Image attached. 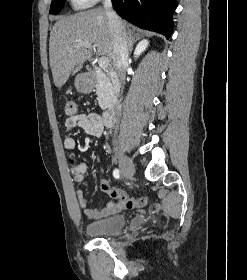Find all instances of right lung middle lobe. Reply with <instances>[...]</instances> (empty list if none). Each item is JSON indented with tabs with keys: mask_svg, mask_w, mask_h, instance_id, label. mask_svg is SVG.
<instances>
[{
	"mask_svg": "<svg viewBox=\"0 0 247 280\" xmlns=\"http://www.w3.org/2000/svg\"><path fill=\"white\" fill-rule=\"evenodd\" d=\"M63 4L64 0H53L51 3L50 13L55 15L58 14L62 9Z\"/></svg>",
	"mask_w": 247,
	"mask_h": 280,
	"instance_id": "1",
	"label": "right lung middle lobe"
}]
</instances>
